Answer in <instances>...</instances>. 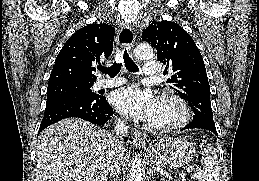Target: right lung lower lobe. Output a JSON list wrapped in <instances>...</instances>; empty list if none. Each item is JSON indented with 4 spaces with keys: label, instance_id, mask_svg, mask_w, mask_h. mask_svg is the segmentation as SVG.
Segmentation results:
<instances>
[{
    "label": "right lung lower lobe",
    "instance_id": "right-lung-lower-lobe-1",
    "mask_svg": "<svg viewBox=\"0 0 259 181\" xmlns=\"http://www.w3.org/2000/svg\"><path fill=\"white\" fill-rule=\"evenodd\" d=\"M98 97L96 100L87 97L62 98L47 105L38 134L46 127L69 117L81 118L99 126L106 124L113 114L112 107L104 96ZM127 139L124 138V141Z\"/></svg>",
    "mask_w": 259,
    "mask_h": 181
}]
</instances>
